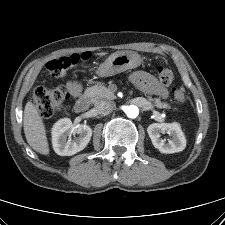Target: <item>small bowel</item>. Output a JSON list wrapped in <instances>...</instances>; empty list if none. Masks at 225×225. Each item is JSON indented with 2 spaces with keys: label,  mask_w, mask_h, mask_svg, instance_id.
Returning a JSON list of instances; mask_svg holds the SVG:
<instances>
[{
  "label": "small bowel",
  "mask_w": 225,
  "mask_h": 225,
  "mask_svg": "<svg viewBox=\"0 0 225 225\" xmlns=\"http://www.w3.org/2000/svg\"><path fill=\"white\" fill-rule=\"evenodd\" d=\"M132 83L141 91L166 98L168 95L167 88L152 74L146 71H136L130 77ZM83 85L80 80L72 79L67 83V90L73 99L80 97Z\"/></svg>",
  "instance_id": "obj_1"
}]
</instances>
